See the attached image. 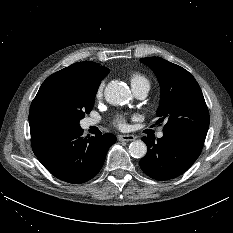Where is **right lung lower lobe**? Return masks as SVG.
<instances>
[{
	"instance_id": "obj_1",
	"label": "right lung lower lobe",
	"mask_w": 233,
	"mask_h": 233,
	"mask_svg": "<svg viewBox=\"0 0 233 233\" xmlns=\"http://www.w3.org/2000/svg\"><path fill=\"white\" fill-rule=\"evenodd\" d=\"M80 128L46 127L31 131L32 149L45 168L60 180L80 184L101 170L113 134L82 137Z\"/></svg>"
}]
</instances>
